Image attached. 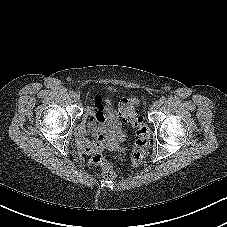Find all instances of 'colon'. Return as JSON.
I'll use <instances>...</instances> for the list:
<instances>
[{
	"mask_svg": "<svg viewBox=\"0 0 227 227\" xmlns=\"http://www.w3.org/2000/svg\"><path fill=\"white\" fill-rule=\"evenodd\" d=\"M138 103V99L128 98L122 100L120 105V114L123 121L132 124L136 130L137 139L130 154V160L133 166H138L141 163L150 141V131L144 123L143 117L137 116L134 113V108L138 105ZM126 160L127 155L123 153H120L115 157V162L107 161L100 154L96 153L90 159V164L99 166L102 169L105 178L113 179L116 176L115 163H122Z\"/></svg>",
	"mask_w": 227,
	"mask_h": 227,
	"instance_id": "5ec220e1",
	"label": "colon"
}]
</instances>
